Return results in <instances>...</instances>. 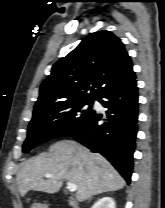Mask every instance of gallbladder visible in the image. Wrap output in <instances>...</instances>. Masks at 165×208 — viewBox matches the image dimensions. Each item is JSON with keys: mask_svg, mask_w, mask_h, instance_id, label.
I'll list each match as a JSON object with an SVG mask.
<instances>
[{"mask_svg": "<svg viewBox=\"0 0 165 208\" xmlns=\"http://www.w3.org/2000/svg\"><path fill=\"white\" fill-rule=\"evenodd\" d=\"M69 203L72 204V201L70 200Z\"/></svg>", "mask_w": 165, "mask_h": 208, "instance_id": "obj_1", "label": "gallbladder"}]
</instances>
